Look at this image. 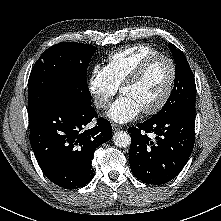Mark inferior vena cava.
I'll return each instance as SVG.
<instances>
[{"label":"inferior vena cava","mask_w":221,"mask_h":221,"mask_svg":"<svg viewBox=\"0 0 221 221\" xmlns=\"http://www.w3.org/2000/svg\"><path fill=\"white\" fill-rule=\"evenodd\" d=\"M94 103L97 108H104L107 106V99L104 97H97Z\"/></svg>","instance_id":"inferior-vena-cava-1"}]
</instances>
